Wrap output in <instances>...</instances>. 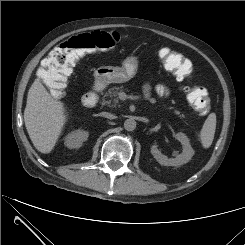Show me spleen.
<instances>
[{
	"instance_id": "3e777b00",
	"label": "spleen",
	"mask_w": 245,
	"mask_h": 245,
	"mask_svg": "<svg viewBox=\"0 0 245 245\" xmlns=\"http://www.w3.org/2000/svg\"><path fill=\"white\" fill-rule=\"evenodd\" d=\"M216 130V114L211 113L205 120L203 127L200 131V141L203 148L208 149L213 142Z\"/></svg>"
}]
</instances>
